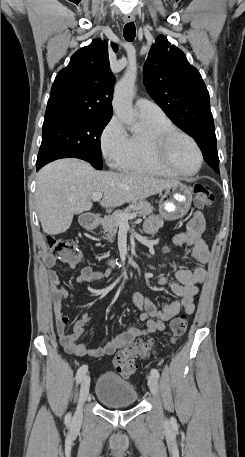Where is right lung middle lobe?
Returning a JSON list of instances; mask_svg holds the SVG:
<instances>
[{"label": "right lung middle lobe", "mask_w": 245, "mask_h": 457, "mask_svg": "<svg viewBox=\"0 0 245 457\" xmlns=\"http://www.w3.org/2000/svg\"><path fill=\"white\" fill-rule=\"evenodd\" d=\"M111 117L87 111L45 113L37 169L68 157L86 160L102 169L100 136Z\"/></svg>", "instance_id": "right-lung-middle-lobe-1"}]
</instances>
